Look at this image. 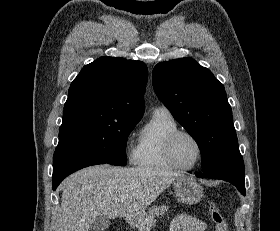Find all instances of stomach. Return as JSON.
I'll list each match as a JSON object with an SVG mask.
<instances>
[{
    "instance_id": "obj_1",
    "label": "stomach",
    "mask_w": 280,
    "mask_h": 231,
    "mask_svg": "<svg viewBox=\"0 0 280 231\" xmlns=\"http://www.w3.org/2000/svg\"><path fill=\"white\" fill-rule=\"evenodd\" d=\"M174 193L178 201L182 203H198L203 195V187L200 183H197L194 177H188V175H183V177H177L173 181ZM130 225H138L137 219L135 217H130Z\"/></svg>"
}]
</instances>
